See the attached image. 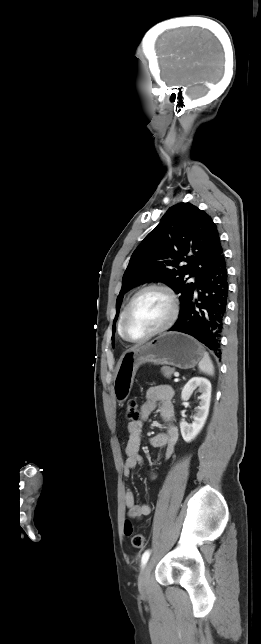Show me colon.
<instances>
[{"instance_id":"1","label":"colon","mask_w":261,"mask_h":644,"mask_svg":"<svg viewBox=\"0 0 261 644\" xmlns=\"http://www.w3.org/2000/svg\"><path fill=\"white\" fill-rule=\"evenodd\" d=\"M141 412L139 403L132 399L128 402L126 408V417L129 421L134 422L140 419ZM125 534L131 538V544L133 547L141 549L145 545V538L141 533L134 531L133 525L131 522L126 521L124 526Z\"/></svg>"}]
</instances>
